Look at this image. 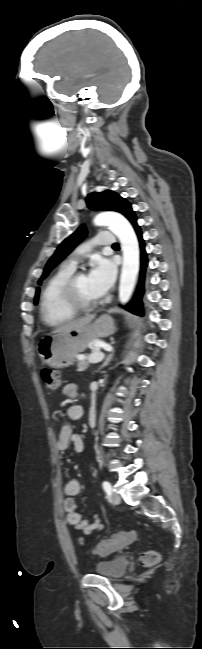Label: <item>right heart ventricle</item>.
Here are the masks:
<instances>
[{"mask_svg": "<svg viewBox=\"0 0 202 649\" xmlns=\"http://www.w3.org/2000/svg\"><path fill=\"white\" fill-rule=\"evenodd\" d=\"M74 268L62 265L47 281L41 295V314L43 320L51 326L72 320L77 311L68 306L63 298V286L73 274Z\"/></svg>", "mask_w": 202, "mask_h": 649, "instance_id": "right-heart-ventricle-1", "label": "right heart ventricle"}]
</instances>
